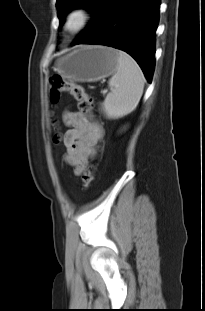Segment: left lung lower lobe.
<instances>
[{"label":"left lung lower lobe","mask_w":205,"mask_h":311,"mask_svg":"<svg viewBox=\"0 0 205 311\" xmlns=\"http://www.w3.org/2000/svg\"><path fill=\"white\" fill-rule=\"evenodd\" d=\"M160 0H114L107 15L77 44L107 45L130 54L150 82Z\"/></svg>","instance_id":"obj_1"}]
</instances>
